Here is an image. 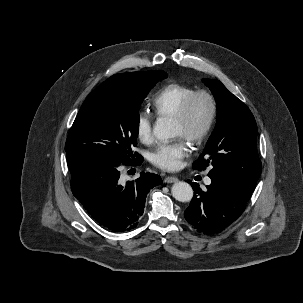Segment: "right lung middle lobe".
<instances>
[{
	"label": "right lung middle lobe",
	"mask_w": 303,
	"mask_h": 303,
	"mask_svg": "<svg viewBox=\"0 0 303 303\" xmlns=\"http://www.w3.org/2000/svg\"><path fill=\"white\" fill-rule=\"evenodd\" d=\"M164 71H149L142 78L130 79L120 74L111 76L84 101L68 135L65 151L70 172L88 161L109 164H132L137 145L138 107L146 93Z\"/></svg>",
	"instance_id": "right-lung-middle-lobe-1"
}]
</instances>
